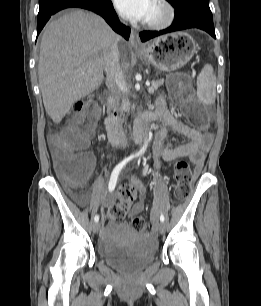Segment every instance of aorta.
<instances>
[{
  "mask_svg": "<svg viewBox=\"0 0 261 306\" xmlns=\"http://www.w3.org/2000/svg\"><path fill=\"white\" fill-rule=\"evenodd\" d=\"M146 145H147V144H146V141H145V143H144L142 149L140 150V152H139L138 154H142V153L145 151Z\"/></svg>",
  "mask_w": 261,
  "mask_h": 306,
  "instance_id": "aorta-1",
  "label": "aorta"
}]
</instances>
